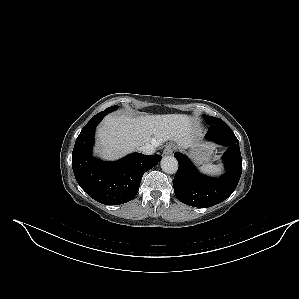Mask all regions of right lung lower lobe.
Instances as JSON below:
<instances>
[{"label":"right lung lower lobe","instance_id":"obj_1","mask_svg":"<svg viewBox=\"0 0 299 299\" xmlns=\"http://www.w3.org/2000/svg\"><path fill=\"white\" fill-rule=\"evenodd\" d=\"M106 109L96 114L83 127L72 153V167L80 187L94 200L106 205H118L132 200L139 190L143 174L161 160L160 155L132 153L115 162H104L92 156L95 128Z\"/></svg>","mask_w":299,"mask_h":299}]
</instances>
